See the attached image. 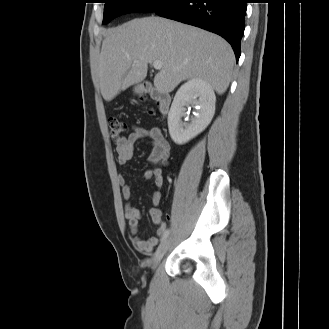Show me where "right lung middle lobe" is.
I'll list each match as a JSON object with an SVG mask.
<instances>
[{"mask_svg":"<svg viewBox=\"0 0 329 329\" xmlns=\"http://www.w3.org/2000/svg\"><path fill=\"white\" fill-rule=\"evenodd\" d=\"M171 0H103L104 19L103 24H107L114 18L128 13H149L155 12Z\"/></svg>","mask_w":329,"mask_h":329,"instance_id":"obj_1","label":"right lung middle lobe"}]
</instances>
